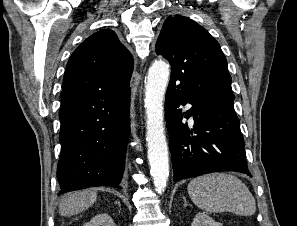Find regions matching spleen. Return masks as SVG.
<instances>
[{
	"instance_id": "spleen-1",
	"label": "spleen",
	"mask_w": 297,
	"mask_h": 226,
	"mask_svg": "<svg viewBox=\"0 0 297 226\" xmlns=\"http://www.w3.org/2000/svg\"><path fill=\"white\" fill-rule=\"evenodd\" d=\"M188 193L198 208L209 213L229 211L251 216L256 211V201L247 186L231 174L197 177L188 184Z\"/></svg>"
}]
</instances>
